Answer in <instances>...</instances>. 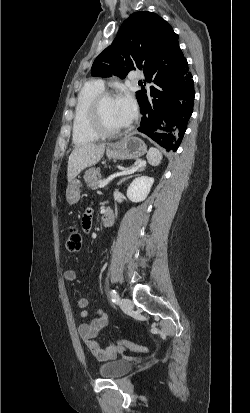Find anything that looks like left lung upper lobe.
<instances>
[{"label":"left lung upper lobe","mask_w":250,"mask_h":413,"mask_svg":"<svg viewBox=\"0 0 250 413\" xmlns=\"http://www.w3.org/2000/svg\"><path fill=\"white\" fill-rule=\"evenodd\" d=\"M172 27L153 12H136L124 21L112 44L94 61L93 76L125 78L130 70L146 74L156 66L161 40L177 37Z\"/></svg>","instance_id":"obj_1"}]
</instances>
